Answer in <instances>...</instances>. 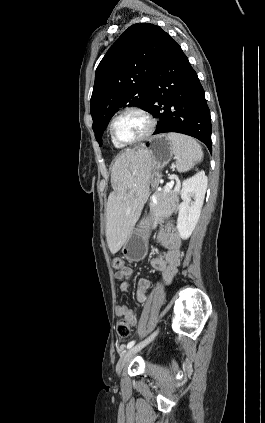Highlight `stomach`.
<instances>
[{
	"label": "stomach",
	"instance_id": "stomach-1",
	"mask_svg": "<svg viewBox=\"0 0 265 423\" xmlns=\"http://www.w3.org/2000/svg\"><path fill=\"white\" fill-rule=\"evenodd\" d=\"M140 149L150 154V183L156 187L160 179L159 171L165 167L173 157L172 143L167 135H156L151 137ZM152 226L153 222L150 214L144 216L139 223L134 226L122 249V253L126 259L138 262L145 258L147 254L149 232Z\"/></svg>",
	"mask_w": 265,
	"mask_h": 423
}]
</instances>
